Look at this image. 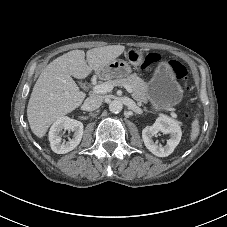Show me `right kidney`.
Masks as SVG:
<instances>
[{"label":"right kidney","instance_id":"right-kidney-1","mask_svg":"<svg viewBox=\"0 0 227 227\" xmlns=\"http://www.w3.org/2000/svg\"><path fill=\"white\" fill-rule=\"evenodd\" d=\"M72 130L74 135L68 141H62L60 133L62 130ZM83 124L80 121L63 116L56 120L50 128L48 137L53 152L65 154L77 147L82 139Z\"/></svg>","mask_w":227,"mask_h":227}]
</instances>
